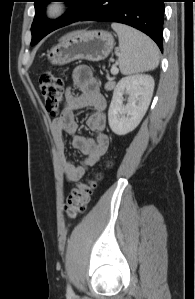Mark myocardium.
I'll return each instance as SVG.
<instances>
[{
    "label": "myocardium",
    "instance_id": "1",
    "mask_svg": "<svg viewBox=\"0 0 195 299\" xmlns=\"http://www.w3.org/2000/svg\"><path fill=\"white\" fill-rule=\"evenodd\" d=\"M68 12L67 3L53 1L44 6V17L50 21L57 20Z\"/></svg>",
    "mask_w": 195,
    "mask_h": 299
}]
</instances>
